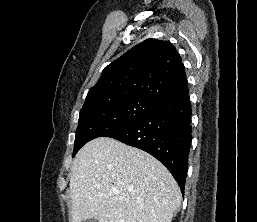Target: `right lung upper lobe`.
<instances>
[{"label": "right lung upper lobe", "mask_w": 257, "mask_h": 222, "mask_svg": "<svg viewBox=\"0 0 257 222\" xmlns=\"http://www.w3.org/2000/svg\"><path fill=\"white\" fill-rule=\"evenodd\" d=\"M188 92L179 53L169 41L147 39L104 68L89 90L86 102L94 99L144 97L165 102Z\"/></svg>", "instance_id": "1"}]
</instances>
